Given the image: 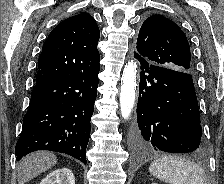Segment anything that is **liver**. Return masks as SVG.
Listing matches in <instances>:
<instances>
[{"label":"liver","mask_w":224,"mask_h":184,"mask_svg":"<svg viewBox=\"0 0 224 184\" xmlns=\"http://www.w3.org/2000/svg\"><path fill=\"white\" fill-rule=\"evenodd\" d=\"M57 162V157L46 151H38L24 157L18 164V184H25L40 173L51 169Z\"/></svg>","instance_id":"liver-1"}]
</instances>
